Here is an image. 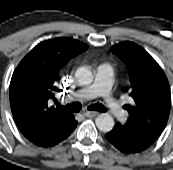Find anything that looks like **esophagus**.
Returning a JSON list of instances; mask_svg holds the SVG:
<instances>
[{
    "label": "esophagus",
    "instance_id": "1",
    "mask_svg": "<svg viewBox=\"0 0 173 170\" xmlns=\"http://www.w3.org/2000/svg\"><path fill=\"white\" fill-rule=\"evenodd\" d=\"M83 114L87 117H94L99 114L97 111H84Z\"/></svg>",
    "mask_w": 173,
    "mask_h": 170
}]
</instances>
